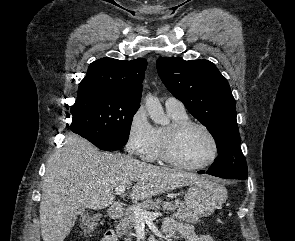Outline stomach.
<instances>
[{
  "mask_svg": "<svg viewBox=\"0 0 295 241\" xmlns=\"http://www.w3.org/2000/svg\"><path fill=\"white\" fill-rule=\"evenodd\" d=\"M226 199V188L209 178L203 182L191 184L185 193L187 208L199 217L210 216Z\"/></svg>",
  "mask_w": 295,
  "mask_h": 241,
  "instance_id": "0dacf381",
  "label": "stomach"
}]
</instances>
